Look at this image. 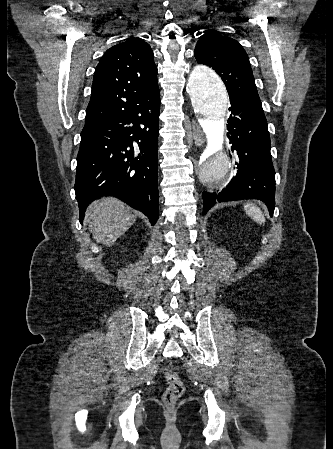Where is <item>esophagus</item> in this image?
I'll use <instances>...</instances> for the list:
<instances>
[{
	"instance_id": "34e87169",
	"label": "esophagus",
	"mask_w": 333,
	"mask_h": 449,
	"mask_svg": "<svg viewBox=\"0 0 333 449\" xmlns=\"http://www.w3.org/2000/svg\"><path fill=\"white\" fill-rule=\"evenodd\" d=\"M191 137L197 146H201L204 143V134L196 121L191 123Z\"/></svg>"
}]
</instances>
